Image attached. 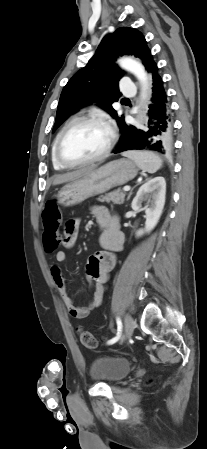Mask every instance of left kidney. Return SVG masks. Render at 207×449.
I'll return each instance as SVG.
<instances>
[{"label": "left kidney", "instance_id": "1", "mask_svg": "<svg viewBox=\"0 0 207 449\" xmlns=\"http://www.w3.org/2000/svg\"><path fill=\"white\" fill-rule=\"evenodd\" d=\"M166 181L164 177H154L144 183L138 190L132 201L131 207L134 211H145V228L136 231L140 237L149 233L157 225L165 204ZM147 201L148 205L142 208V203Z\"/></svg>", "mask_w": 207, "mask_h": 449}]
</instances>
